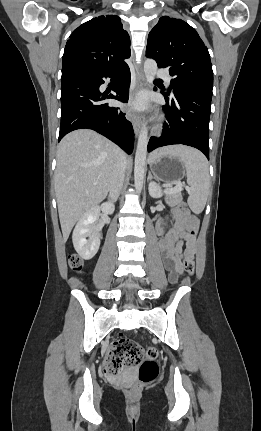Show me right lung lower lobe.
<instances>
[{
    "mask_svg": "<svg viewBox=\"0 0 261 431\" xmlns=\"http://www.w3.org/2000/svg\"><path fill=\"white\" fill-rule=\"evenodd\" d=\"M120 75L113 91L116 95L102 94L99 87L104 78ZM130 70L128 65L114 70H76L62 73L61 125L59 141L76 129H92L104 135L128 154L132 153L134 132L131 122L119 108L103 101L108 98L127 102Z\"/></svg>",
    "mask_w": 261,
    "mask_h": 431,
    "instance_id": "98d812e1",
    "label": "right lung lower lobe"
}]
</instances>
